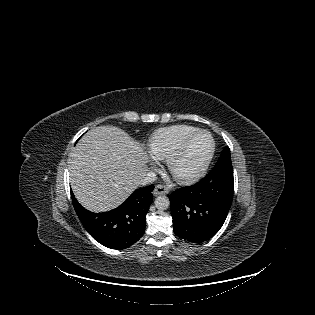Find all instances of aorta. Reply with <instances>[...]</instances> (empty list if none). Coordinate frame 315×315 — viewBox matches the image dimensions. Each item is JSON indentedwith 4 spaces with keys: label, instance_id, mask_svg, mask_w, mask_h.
<instances>
[{
    "label": "aorta",
    "instance_id": "obj_1",
    "mask_svg": "<svg viewBox=\"0 0 315 315\" xmlns=\"http://www.w3.org/2000/svg\"><path fill=\"white\" fill-rule=\"evenodd\" d=\"M155 206L158 210H166L170 206L169 198L165 195L158 196L155 199Z\"/></svg>",
    "mask_w": 315,
    "mask_h": 315
}]
</instances>
